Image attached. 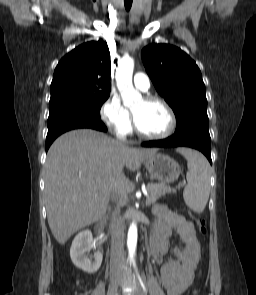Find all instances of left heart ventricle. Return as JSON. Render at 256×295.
Wrapping results in <instances>:
<instances>
[{"mask_svg": "<svg viewBox=\"0 0 256 295\" xmlns=\"http://www.w3.org/2000/svg\"><path fill=\"white\" fill-rule=\"evenodd\" d=\"M136 124L145 133L161 134L169 126V116L165 108L158 103H147L143 99L132 108Z\"/></svg>", "mask_w": 256, "mask_h": 295, "instance_id": "obj_1", "label": "left heart ventricle"}]
</instances>
